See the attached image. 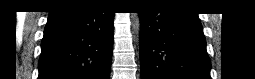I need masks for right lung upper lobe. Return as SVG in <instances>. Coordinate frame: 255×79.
<instances>
[{"instance_id": "right-lung-upper-lobe-1", "label": "right lung upper lobe", "mask_w": 255, "mask_h": 79, "mask_svg": "<svg viewBox=\"0 0 255 79\" xmlns=\"http://www.w3.org/2000/svg\"><path fill=\"white\" fill-rule=\"evenodd\" d=\"M82 2H85V1H82V0H61V1L57 2L56 7L75 5V4H80Z\"/></svg>"}]
</instances>
